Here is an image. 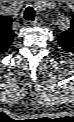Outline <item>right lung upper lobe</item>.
<instances>
[{"instance_id":"1","label":"right lung upper lobe","mask_w":74,"mask_h":122,"mask_svg":"<svg viewBox=\"0 0 74 122\" xmlns=\"http://www.w3.org/2000/svg\"><path fill=\"white\" fill-rule=\"evenodd\" d=\"M11 24V17L0 16V53L7 51L13 41L14 32Z\"/></svg>"}]
</instances>
